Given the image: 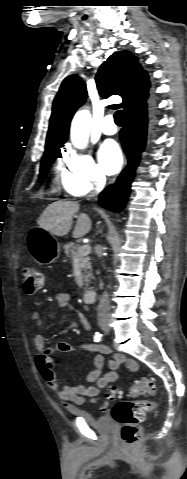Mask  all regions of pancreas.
<instances>
[{
	"label": "pancreas",
	"instance_id": "cf45deb5",
	"mask_svg": "<svg viewBox=\"0 0 187 479\" xmlns=\"http://www.w3.org/2000/svg\"><path fill=\"white\" fill-rule=\"evenodd\" d=\"M64 252L67 258L70 260H75L76 258L79 261L81 270H82V276H83V281H84V289L89 286V282L91 279H93V274L91 272V264H90V258L88 256H80L79 255V248L80 245L75 244L73 242L67 243L64 245Z\"/></svg>",
	"mask_w": 187,
	"mask_h": 479
}]
</instances>
